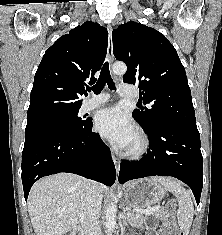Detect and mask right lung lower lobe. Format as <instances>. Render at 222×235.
<instances>
[{
	"instance_id": "obj_1",
	"label": "right lung lower lobe",
	"mask_w": 222,
	"mask_h": 235,
	"mask_svg": "<svg viewBox=\"0 0 222 235\" xmlns=\"http://www.w3.org/2000/svg\"><path fill=\"white\" fill-rule=\"evenodd\" d=\"M92 127V119H87L73 132L47 133L25 142L21 176L25 200L35 181L59 172L78 174L107 186L113 184L116 170L110 149Z\"/></svg>"
}]
</instances>
